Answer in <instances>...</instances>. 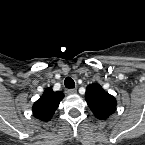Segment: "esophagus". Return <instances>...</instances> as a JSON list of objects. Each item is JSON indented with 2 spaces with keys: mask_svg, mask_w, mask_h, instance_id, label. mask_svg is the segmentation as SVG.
Returning <instances> with one entry per match:
<instances>
[{
  "mask_svg": "<svg viewBox=\"0 0 145 145\" xmlns=\"http://www.w3.org/2000/svg\"><path fill=\"white\" fill-rule=\"evenodd\" d=\"M76 93H77V89L71 88V89L67 90V94H69V95H73V94H76Z\"/></svg>",
  "mask_w": 145,
  "mask_h": 145,
  "instance_id": "esophagus-1",
  "label": "esophagus"
}]
</instances>
